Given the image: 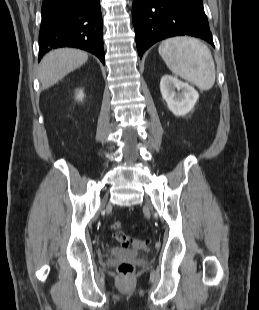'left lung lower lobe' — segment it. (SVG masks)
Masks as SVG:
<instances>
[{
  "label": "left lung lower lobe",
  "instance_id": "obj_1",
  "mask_svg": "<svg viewBox=\"0 0 259 310\" xmlns=\"http://www.w3.org/2000/svg\"><path fill=\"white\" fill-rule=\"evenodd\" d=\"M132 19L140 58L154 43L172 36H194L214 46L203 0H134Z\"/></svg>",
  "mask_w": 259,
  "mask_h": 310
}]
</instances>
